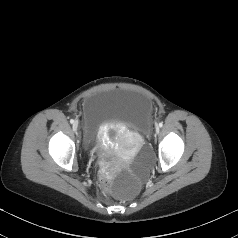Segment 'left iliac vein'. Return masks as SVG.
Wrapping results in <instances>:
<instances>
[{"instance_id":"4c4485c4","label":"left iliac vein","mask_w":238,"mask_h":238,"mask_svg":"<svg viewBox=\"0 0 238 238\" xmlns=\"http://www.w3.org/2000/svg\"><path fill=\"white\" fill-rule=\"evenodd\" d=\"M155 131H156V133H157V134L159 133V131H160V128H159V126H156V129H155Z\"/></svg>"}]
</instances>
